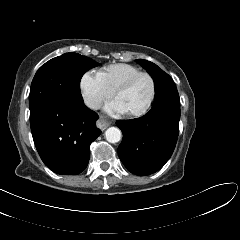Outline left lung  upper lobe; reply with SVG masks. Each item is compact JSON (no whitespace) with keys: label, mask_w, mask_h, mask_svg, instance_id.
<instances>
[{"label":"left lung upper lobe","mask_w":240,"mask_h":240,"mask_svg":"<svg viewBox=\"0 0 240 240\" xmlns=\"http://www.w3.org/2000/svg\"><path fill=\"white\" fill-rule=\"evenodd\" d=\"M137 62L147 69L155 80L156 96L152 107L160 104L180 105L179 94L172 78L150 61L137 59Z\"/></svg>","instance_id":"left-lung-upper-lobe-1"}]
</instances>
